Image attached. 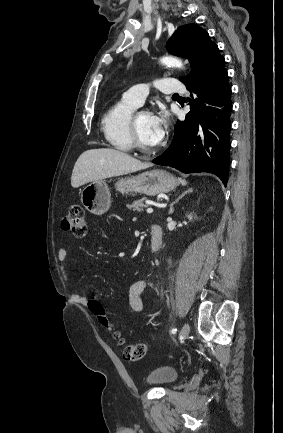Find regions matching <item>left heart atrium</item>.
Returning a JSON list of instances; mask_svg holds the SVG:
<instances>
[{
  "mask_svg": "<svg viewBox=\"0 0 283 433\" xmlns=\"http://www.w3.org/2000/svg\"><path fill=\"white\" fill-rule=\"evenodd\" d=\"M167 129V121L163 116L151 114L149 118L147 143L153 148L157 149L163 140Z\"/></svg>",
  "mask_w": 283,
  "mask_h": 433,
  "instance_id": "obj_1",
  "label": "left heart atrium"
}]
</instances>
